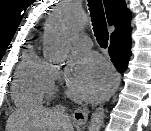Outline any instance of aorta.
<instances>
[{
    "label": "aorta",
    "instance_id": "762f6f07",
    "mask_svg": "<svg viewBox=\"0 0 151 131\" xmlns=\"http://www.w3.org/2000/svg\"><path fill=\"white\" fill-rule=\"evenodd\" d=\"M80 27L77 13L71 6L64 7L60 13L49 18L45 30V56L52 61H60L67 54L68 33ZM104 108L98 107L91 115L89 130L100 131L104 120Z\"/></svg>",
    "mask_w": 151,
    "mask_h": 131
}]
</instances>
